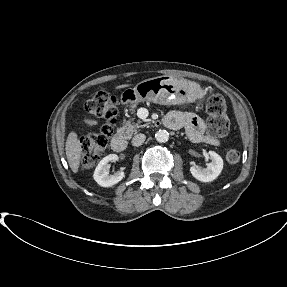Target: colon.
Instances as JSON below:
<instances>
[{"instance_id": "obj_1", "label": "colon", "mask_w": 287, "mask_h": 287, "mask_svg": "<svg viewBox=\"0 0 287 287\" xmlns=\"http://www.w3.org/2000/svg\"><path fill=\"white\" fill-rule=\"evenodd\" d=\"M86 111L105 120V124L98 132L89 133L81 140L82 167H93L105 152L108 138L114 132V123L117 116V100L115 96L106 91H99L86 103ZM226 102L217 93L211 94L207 99L206 111L208 114V132L213 138L224 137L229 130V120L226 115ZM241 153L237 148L226 150V160L230 164L240 161Z\"/></svg>"}]
</instances>
